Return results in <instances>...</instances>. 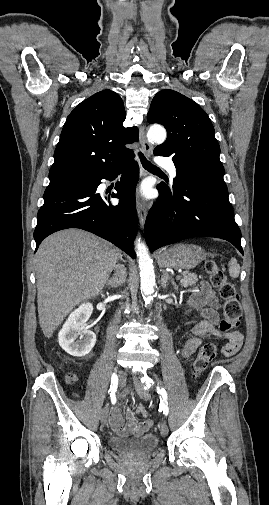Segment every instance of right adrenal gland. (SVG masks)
Returning a JSON list of instances; mask_svg holds the SVG:
<instances>
[{"instance_id": "2a0ac1e0", "label": "right adrenal gland", "mask_w": 269, "mask_h": 505, "mask_svg": "<svg viewBox=\"0 0 269 505\" xmlns=\"http://www.w3.org/2000/svg\"><path fill=\"white\" fill-rule=\"evenodd\" d=\"M125 277L126 272L124 270V272H121L119 276L115 274L110 280L107 281L106 284L111 288H117L123 284V282L125 281Z\"/></svg>"}]
</instances>
